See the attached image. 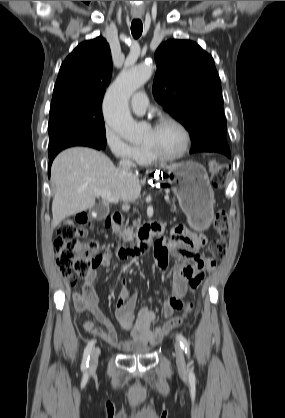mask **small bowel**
<instances>
[{
    "label": "small bowel",
    "mask_w": 285,
    "mask_h": 418,
    "mask_svg": "<svg viewBox=\"0 0 285 418\" xmlns=\"http://www.w3.org/2000/svg\"><path fill=\"white\" fill-rule=\"evenodd\" d=\"M156 232L162 236L160 226H156ZM168 250V254L179 259H190L195 262L191 264H177L173 268L174 286L171 294L162 306V316L168 318L175 310L183 306L182 298L187 291L195 292L201 285L206 272L207 265L211 260H203L197 248L206 243V238L192 232L173 233L169 238H160ZM193 243L195 247H191ZM112 255L110 250L104 252L99 263L90 271L83 283L80 292L72 294V301L77 313L91 314L103 327H96L92 321L84 322V329L103 340L124 351L156 345L160 343L166 334H160L157 329L152 328L155 319L154 312L147 306L140 308L135 313L137 295L129 292L126 281L121 280L119 297L114 307V312L119 319L122 327L131 331V338L119 340L115 324L102 312L99 307V296L96 293L93 283L102 267L112 265ZM156 265L161 273H166L169 268L168 257L165 261H156Z\"/></svg>",
    "instance_id": "c3829d8e"
}]
</instances>
